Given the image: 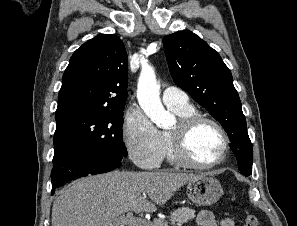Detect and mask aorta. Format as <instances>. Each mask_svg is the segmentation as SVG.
Segmentation results:
<instances>
[{
    "label": "aorta",
    "instance_id": "obj_1",
    "mask_svg": "<svg viewBox=\"0 0 297 226\" xmlns=\"http://www.w3.org/2000/svg\"><path fill=\"white\" fill-rule=\"evenodd\" d=\"M159 89L154 69L150 66L143 67L137 85L138 103L156 126L162 128L170 119V114L161 103Z\"/></svg>",
    "mask_w": 297,
    "mask_h": 226
}]
</instances>
